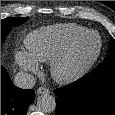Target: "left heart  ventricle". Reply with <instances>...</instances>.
Here are the masks:
<instances>
[{
	"instance_id": "1",
	"label": "left heart ventricle",
	"mask_w": 115,
	"mask_h": 115,
	"mask_svg": "<svg viewBox=\"0 0 115 115\" xmlns=\"http://www.w3.org/2000/svg\"><path fill=\"white\" fill-rule=\"evenodd\" d=\"M98 46V39L95 35L88 36L78 48V56L80 58L91 55Z\"/></svg>"
}]
</instances>
